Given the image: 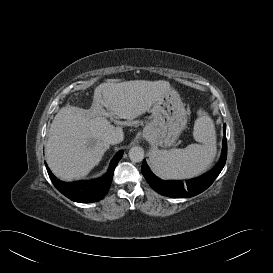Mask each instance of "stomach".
Here are the masks:
<instances>
[{
  "label": "stomach",
  "mask_w": 273,
  "mask_h": 273,
  "mask_svg": "<svg viewBox=\"0 0 273 273\" xmlns=\"http://www.w3.org/2000/svg\"><path fill=\"white\" fill-rule=\"evenodd\" d=\"M150 112L152 120L143 136L155 146L174 145L187 124V112L178 92L170 88L153 103Z\"/></svg>",
  "instance_id": "0dacf381"
}]
</instances>
